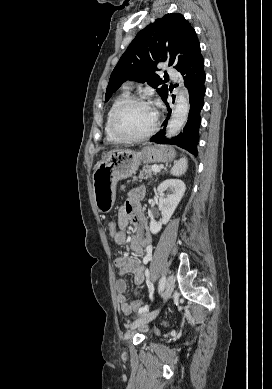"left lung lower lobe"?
Returning a JSON list of instances; mask_svg holds the SVG:
<instances>
[{
    "label": "left lung lower lobe",
    "instance_id": "1",
    "mask_svg": "<svg viewBox=\"0 0 272 389\" xmlns=\"http://www.w3.org/2000/svg\"><path fill=\"white\" fill-rule=\"evenodd\" d=\"M184 76V82L189 89L190 111L188 121L183 131L172 139L164 136L166 129V122L168 121L171 109L167 103V97L164 99L168 107V117L165 120L163 130L152 136L151 142L157 144H172L177 145L191 152L197 156V143L199 140V126H200V111L203 107V98L205 95V72L204 59L201 55L200 46L194 51L186 66L180 71Z\"/></svg>",
    "mask_w": 272,
    "mask_h": 389
}]
</instances>
